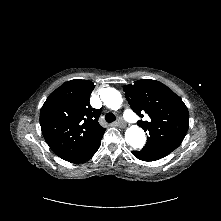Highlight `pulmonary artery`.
Wrapping results in <instances>:
<instances>
[{"label":"pulmonary artery","instance_id":"pulmonary-artery-1","mask_svg":"<svg viewBox=\"0 0 221 221\" xmlns=\"http://www.w3.org/2000/svg\"><path fill=\"white\" fill-rule=\"evenodd\" d=\"M123 115L129 123H137L139 121L138 116L130 109H125Z\"/></svg>","mask_w":221,"mask_h":221}]
</instances>
